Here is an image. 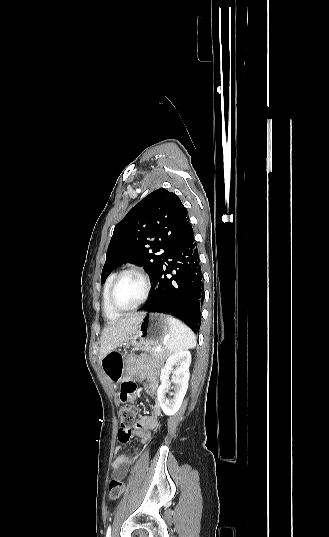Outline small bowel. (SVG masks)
Returning a JSON list of instances; mask_svg holds the SVG:
<instances>
[{
	"label": "small bowel",
	"instance_id": "c3829d8e",
	"mask_svg": "<svg viewBox=\"0 0 329 537\" xmlns=\"http://www.w3.org/2000/svg\"><path fill=\"white\" fill-rule=\"evenodd\" d=\"M158 373L159 369L156 364L150 361L147 357L138 356L128 358L126 361V376L128 379H133L138 376L141 380L148 383V391L152 394L158 393ZM138 386L135 380L122 381L120 385V391L118 396L122 405H127L129 400L135 398ZM161 415V409L158 403L154 404L151 413L142 417L139 425L134 430H122L118 434L120 442L127 444L131 439L137 436L138 441L144 443L149 437L150 430L155 429L158 426V420ZM122 447L116 446L115 453L117 457L112 463V473L114 476L121 478L126 475V468L123 466H129L133 460L139 456L140 451H137L133 456L121 454Z\"/></svg>",
	"mask_w": 329,
	"mask_h": 537
}]
</instances>
